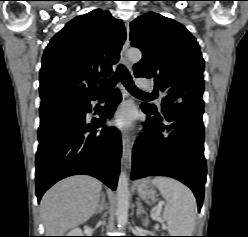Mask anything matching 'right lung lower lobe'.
<instances>
[{
  "instance_id": "98d812e1",
  "label": "right lung lower lobe",
  "mask_w": 248,
  "mask_h": 237,
  "mask_svg": "<svg viewBox=\"0 0 248 237\" xmlns=\"http://www.w3.org/2000/svg\"><path fill=\"white\" fill-rule=\"evenodd\" d=\"M90 96L79 102H63L40 106L39 146L36 154V195L38 202L44 192L57 181L76 174L98 178L116 189L122 145L119 131L100 127L113 115L121 101L118 90L100 108V118L87 124L91 112Z\"/></svg>"
}]
</instances>
